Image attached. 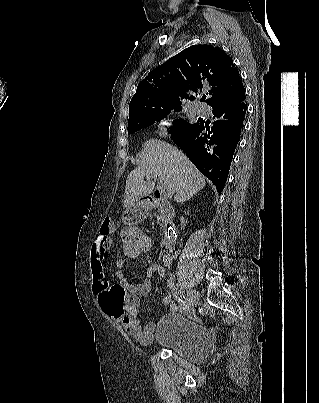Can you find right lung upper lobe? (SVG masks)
Masks as SVG:
<instances>
[{
    "label": "right lung upper lobe",
    "instance_id": "right-lung-upper-lobe-1",
    "mask_svg": "<svg viewBox=\"0 0 319 403\" xmlns=\"http://www.w3.org/2000/svg\"><path fill=\"white\" fill-rule=\"evenodd\" d=\"M204 89H209L208 98L204 95L201 101L211 107L245 95L239 71L222 49L193 45L152 70L139 83L129 105V121L159 106L181 105L179 97L193 100L194 96L184 93Z\"/></svg>",
    "mask_w": 319,
    "mask_h": 403
}]
</instances>
